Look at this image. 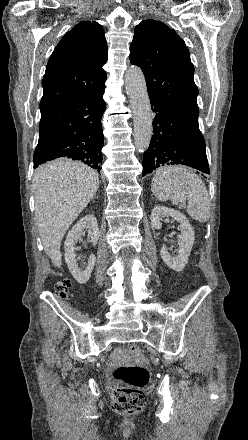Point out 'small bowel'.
Segmentation results:
<instances>
[{
  "mask_svg": "<svg viewBox=\"0 0 248 440\" xmlns=\"http://www.w3.org/2000/svg\"><path fill=\"white\" fill-rule=\"evenodd\" d=\"M122 355H123V349L122 348H117L113 352V354L111 355L110 363L111 364L116 363L122 357Z\"/></svg>",
  "mask_w": 248,
  "mask_h": 440,
  "instance_id": "c3829d8e",
  "label": "small bowel"
}]
</instances>
